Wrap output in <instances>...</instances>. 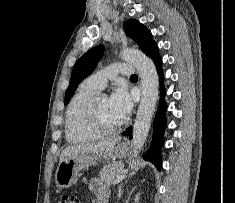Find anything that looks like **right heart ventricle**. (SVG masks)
<instances>
[{"label": "right heart ventricle", "instance_id": "right-heart-ventricle-1", "mask_svg": "<svg viewBox=\"0 0 235 203\" xmlns=\"http://www.w3.org/2000/svg\"><path fill=\"white\" fill-rule=\"evenodd\" d=\"M98 92L87 82L78 87L66 110L65 136L68 142L84 143L100 137L90 122V106Z\"/></svg>", "mask_w": 235, "mask_h": 203}]
</instances>
